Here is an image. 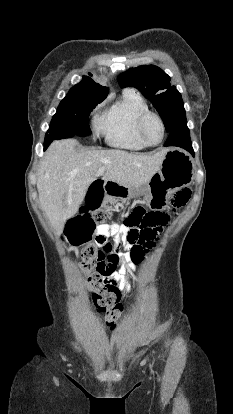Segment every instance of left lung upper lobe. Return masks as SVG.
<instances>
[{"label": "left lung upper lobe", "mask_w": 233, "mask_h": 414, "mask_svg": "<svg viewBox=\"0 0 233 414\" xmlns=\"http://www.w3.org/2000/svg\"><path fill=\"white\" fill-rule=\"evenodd\" d=\"M169 81L170 77L154 65L132 68L118 77L119 85L122 88L135 87L151 100L159 112L167 132L185 116L181 94L175 86L170 85Z\"/></svg>", "instance_id": "left-lung-upper-lobe-1"}]
</instances>
